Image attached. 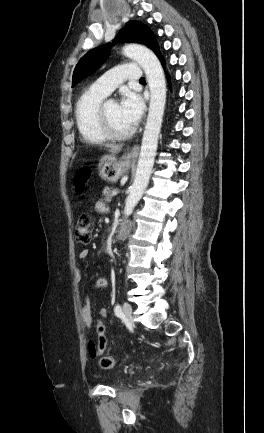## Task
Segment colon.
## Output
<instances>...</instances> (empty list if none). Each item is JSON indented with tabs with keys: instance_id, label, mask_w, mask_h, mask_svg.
I'll return each mask as SVG.
<instances>
[{
	"instance_id": "obj_1",
	"label": "colon",
	"mask_w": 264,
	"mask_h": 433,
	"mask_svg": "<svg viewBox=\"0 0 264 433\" xmlns=\"http://www.w3.org/2000/svg\"><path fill=\"white\" fill-rule=\"evenodd\" d=\"M87 172H79L75 177L76 188L81 192L87 181ZM93 222L89 214H82L77 222L75 238L80 244H88L92 237ZM97 343L99 348V365L103 369H111L116 365L114 357L105 355L104 351L107 345L106 329L103 321L99 319L96 326Z\"/></svg>"
}]
</instances>
